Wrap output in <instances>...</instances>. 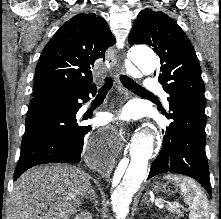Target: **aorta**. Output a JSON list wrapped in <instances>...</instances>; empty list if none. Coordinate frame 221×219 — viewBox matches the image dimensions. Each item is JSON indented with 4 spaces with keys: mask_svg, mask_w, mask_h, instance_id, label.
<instances>
[{
    "mask_svg": "<svg viewBox=\"0 0 221 219\" xmlns=\"http://www.w3.org/2000/svg\"><path fill=\"white\" fill-rule=\"evenodd\" d=\"M127 57L141 71L152 73L157 68L156 54L146 46H134ZM153 135L141 133L130 151L116 167L111 181V204L116 219H125L129 206L146 178L148 163L154 152Z\"/></svg>",
    "mask_w": 221,
    "mask_h": 219,
    "instance_id": "762f6f07",
    "label": "aorta"
}]
</instances>
